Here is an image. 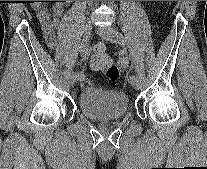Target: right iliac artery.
I'll return each mask as SVG.
<instances>
[{"label":"right iliac artery","mask_w":207,"mask_h":169,"mask_svg":"<svg viewBox=\"0 0 207 169\" xmlns=\"http://www.w3.org/2000/svg\"><path fill=\"white\" fill-rule=\"evenodd\" d=\"M79 49H80L81 56L84 57V58H87V56L89 55V50L87 48L86 43L82 42ZM75 76L80 81L83 79V75L81 73H75Z\"/></svg>","instance_id":"1"}]
</instances>
